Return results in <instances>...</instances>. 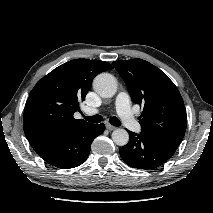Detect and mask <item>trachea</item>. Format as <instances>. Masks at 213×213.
<instances>
[{"mask_svg": "<svg viewBox=\"0 0 213 213\" xmlns=\"http://www.w3.org/2000/svg\"><path fill=\"white\" fill-rule=\"evenodd\" d=\"M84 119L89 121V122H92V123H100L102 121V116L101 115L84 116ZM109 121L113 126H120L121 125L120 120L115 116L111 117Z\"/></svg>", "mask_w": 213, "mask_h": 213, "instance_id": "trachea-1", "label": "trachea"}]
</instances>
